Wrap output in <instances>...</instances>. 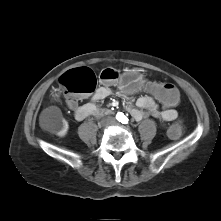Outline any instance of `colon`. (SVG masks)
I'll list each match as a JSON object with an SVG mask.
<instances>
[{
	"label": "colon",
	"instance_id": "5ec220e1",
	"mask_svg": "<svg viewBox=\"0 0 221 221\" xmlns=\"http://www.w3.org/2000/svg\"><path fill=\"white\" fill-rule=\"evenodd\" d=\"M99 78L105 83H110L119 78V73L115 69L106 68L100 73ZM96 86L97 76L87 67L72 69L59 80V88L66 94V99H74L78 95L92 93ZM147 93L165 108H176L180 104L181 90L174 83L150 82L147 85ZM186 124L187 119L179 116L176 124L167 129V134L174 140L184 138L188 132Z\"/></svg>",
	"mask_w": 221,
	"mask_h": 221
}]
</instances>
